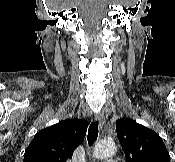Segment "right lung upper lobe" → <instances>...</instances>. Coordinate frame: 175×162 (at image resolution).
<instances>
[{"mask_svg":"<svg viewBox=\"0 0 175 162\" xmlns=\"http://www.w3.org/2000/svg\"><path fill=\"white\" fill-rule=\"evenodd\" d=\"M88 122L62 120L40 130L27 147L23 162H66L84 140Z\"/></svg>","mask_w":175,"mask_h":162,"instance_id":"right-lung-upper-lobe-1","label":"right lung upper lobe"}]
</instances>
